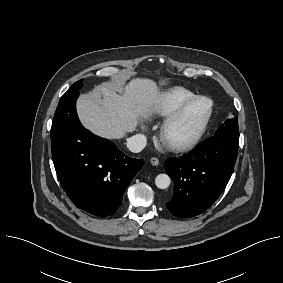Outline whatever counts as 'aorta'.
Wrapping results in <instances>:
<instances>
[{
    "label": "aorta",
    "instance_id": "762f6f07",
    "mask_svg": "<svg viewBox=\"0 0 283 283\" xmlns=\"http://www.w3.org/2000/svg\"><path fill=\"white\" fill-rule=\"evenodd\" d=\"M171 179L167 174H159L155 178V184L159 189H166L170 186Z\"/></svg>",
    "mask_w": 283,
    "mask_h": 283
}]
</instances>
